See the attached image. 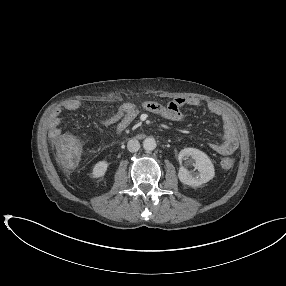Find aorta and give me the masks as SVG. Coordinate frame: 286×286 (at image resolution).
<instances>
[{"label":"aorta","instance_id":"762f6f07","mask_svg":"<svg viewBox=\"0 0 286 286\" xmlns=\"http://www.w3.org/2000/svg\"><path fill=\"white\" fill-rule=\"evenodd\" d=\"M157 144L154 138L148 137L143 141V148L146 151H153L156 148Z\"/></svg>","mask_w":286,"mask_h":286}]
</instances>
